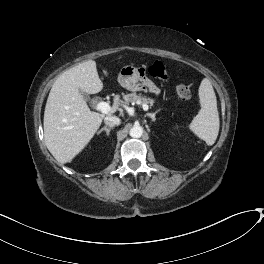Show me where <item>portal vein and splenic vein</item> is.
Instances as JSON below:
<instances>
[{
	"label": "portal vein and splenic vein",
	"instance_id": "1",
	"mask_svg": "<svg viewBox=\"0 0 264 264\" xmlns=\"http://www.w3.org/2000/svg\"><path fill=\"white\" fill-rule=\"evenodd\" d=\"M142 108L144 111H147L149 107L147 104H143ZM110 109V105L107 102L101 101L96 105V110L102 112L103 114H108Z\"/></svg>",
	"mask_w": 264,
	"mask_h": 264
}]
</instances>
